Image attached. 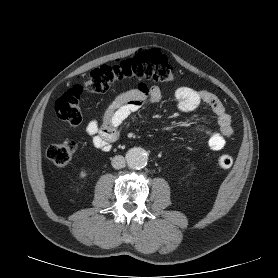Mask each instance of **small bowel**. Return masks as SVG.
Listing matches in <instances>:
<instances>
[{
    "label": "small bowel",
    "mask_w": 278,
    "mask_h": 278,
    "mask_svg": "<svg viewBox=\"0 0 278 278\" xmlns=\"http://www.w3.org/2000/svg\"><path fill=\"white\" fill-rule=\"evenodd\" d=\"M178 109L188 113L205 104L216 116L218 129L207 130V143L213 151L224 148L226 141L233 135L231 117L219 98L206 90H195L180 86L174 92ZM162 99L159 86L148 87L140 83L136 88L118 94L105 108L100 119H92L86 125V133L92 145L103 152H108L112 144L121 136L120 127L129 116L138 111L147 102L158 103Z\"/></svg>",
    "instance_id": "small-bowel-1"
}]
</instances>
